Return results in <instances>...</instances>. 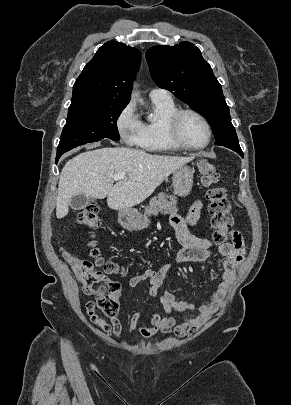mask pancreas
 I'll return each mask as SVG.
<instances>
[{
	"instance_id": "pancreas-1",
	"label": "pancreas",
	"mask_w": 291,
	"mask_h": 405,
	"mask_svg": "<svg viewBox=\"0 0 291 405\" xmlns=\"http://www.w3.org/2000/svg\"><path fill=\"white\" fill-rule=\"evenodd\" d=\"M175 209V198L164 193H160L157 197H154L150 200L144 214L147 216L157 215L159 212H161L162 214H170Z\"/></svg>"
}]
</instances>
